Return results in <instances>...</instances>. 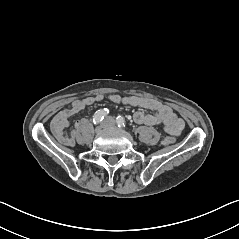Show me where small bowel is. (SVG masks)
I'll list each match as a JSON object with an SVG mask.
<instances>
[{"label":"small bowel","mask_w":239,"mask_h":239,"mask_svg":"<svg viewBox=\"0 0 239 239\" xmlns=\"http://www.w3.org/2000/svg\"><path fill=\"white\" fill-rule=\"evenodd\" d=\"M104 96L95 94L84 99L75 100L70 108L57 113L51 123V129L55 137L63 144L73 146L77 136V131L66 132L71 119L83 108L101 102ZM108 99L113 103H123L133 107H142L154 111L153 114L137 111L133 115V120L138 124L155 126L161 125L163 130L171 135L178 136L184 129V121L178 117L173 110L162 102L148 97L120 96L111 94ZM82 122H85L82 120Z\"/></svg>","instance_id":"c3829d8e"}]
</instances>
